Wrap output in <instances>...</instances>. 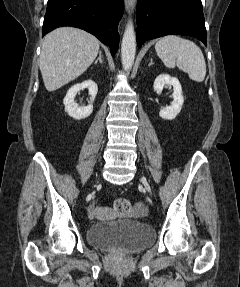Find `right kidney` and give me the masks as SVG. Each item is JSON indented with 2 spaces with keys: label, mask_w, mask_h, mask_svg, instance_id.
Listing matches in <instances>:
<instances>
[{
  "label": "right kidney",
  "mask_w": 240,
  "mask_h": 287,
  "mask_svg": "<svg viewBox=\"0 0 240 287\" xmlns=\"http://www.w3.org/2000/svg\"><path fill=\"white\" fill-rule=\"evenodd\" d=\"M85 88H87L89 91V95L91 96L90 97L91 102L85 107H80L74 101V98H75L77 92H79ZM97 92H98L97 84L92 80H87V81H84L82 83H79V84L72 86L68 90V92H67V94L63 100L64 106H65V111L68 113V115L70 117H72L76 120L87 118L88 116L91 115V113L93 111V104L92 103H93V101L97 95Z\"/></svg>",
  "instance_id": "1"
}]
</instances>
